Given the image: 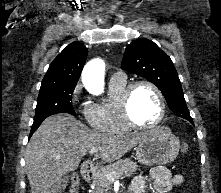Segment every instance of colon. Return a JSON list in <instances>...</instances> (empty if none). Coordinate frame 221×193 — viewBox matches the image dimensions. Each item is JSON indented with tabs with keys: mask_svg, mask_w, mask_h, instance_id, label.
<instances>
[{
	"mask_svg": "<svg viewBox=\"0 0 221 193\" xmlns=\"http://www.w3.org/2000/svg\"><path fill=\"white\" fill-rule=\"evenodd\" d=\"M189 146L188 144L184 143L181 146V149L183 152H186L188 150ZM72 184H71V189H70V193H78V184H79V180L77 178V176L73 175L71 178Z\"/></svg>",
	"mask_w": 221,
	"mask_h": 193,
	"instance_id": "obj_1",
	"label": "colon"
}]
</instances>
